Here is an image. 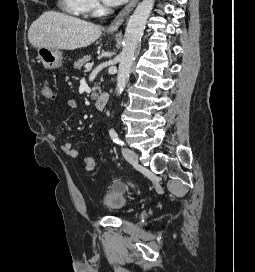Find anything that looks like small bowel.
I'll return each instance as SVG.
<instances>
[{
  "label": "small bowel",
  "instance_id": "c3829d8e",
  "mask_svg": "<svg viewBox=\"0 0 255 272\" xmlns=\"http://www.w3.org/2000/svg\"><path fill=\"white\" fill-rule=\"evenodd\" d=\"M68 106L71 110L77 109V104L74 101H70ZM48 138L52 142L57 140V136L53 133H50ZM60 148L69 158H77L79 156V150L70 142H64L60 144Z\"/></svg>",
  "mask_w": 255,
  "mask_h": 272
}]
</instances>
